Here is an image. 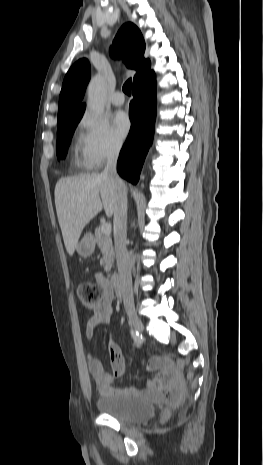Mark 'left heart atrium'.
<instances>
[{
    "mask_svg": "<svg viewBox=\"0 0 263 465\" xmlns=\"http://www.w3.org/2000/svg\"><path fill=\"white\" fill-rule=\"evenodd\" d=\"M113 125L120 137H125L131 128V122L128 115L123 111H118L113 117Z\"/></svg>",
    "mask_w": 263,
    "mask_h": 465,
    "instance_id": "39dd6f15",
    "label": "left heart atrium"
}]
</instances>
